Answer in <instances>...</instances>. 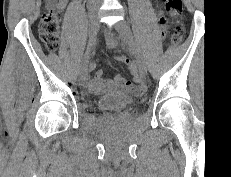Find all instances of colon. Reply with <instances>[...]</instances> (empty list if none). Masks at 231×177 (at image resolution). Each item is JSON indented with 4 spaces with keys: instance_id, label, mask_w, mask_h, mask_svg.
Listing matches in <instances>:
<instances>
[{
    "instance_id": "colon-1",
    "label": "colon",
    "mask_w": 231,
    "mask_h": 177,
    "mask_svg": "<svg viewBox=\"0 0 231 177\" xmlns=\"http://www.w3.org/2000/svg\"><path fill=\"white\" fill-rule=\"evenodd\" d=\"M49 4H53L56 0H45ZM166 10L173 17L179 18L182 11V1L181 0H165ZM59 16L57 12L53 9L47 10L41 17L39 23V34L40 38L49 52L56 50L59 43ZM160 23L165 24L166 20L163 16L160 17ZM184 30L178 20L171 40L174 44H178L183 37ZM116 60L124 65H130V60L125 56H118Z\"/></svg>"
}]
</instances>
